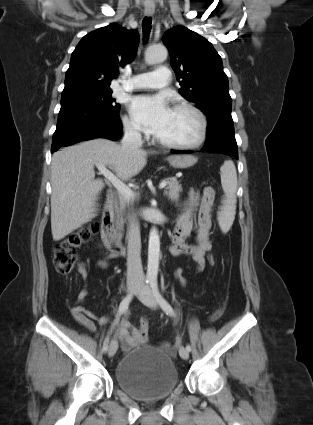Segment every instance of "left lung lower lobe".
I'll return each mask as SVG.
<instances>
[{
  "instance_id": "1",
  "label": "left lung lower lobe",
  "mask_w": 313,
  "mask_h": 425,
  "mask_svg": "<svg viewBox=\"0 0 313 425\" xmlns=\"http://www.w3.org/2000/svg\"><path fill=\"white\" fill-rule=\"evenodd\" d=\"M202 151H212L232 155L238 159L233 121L218 120L209 122L207 126L206 143L202 148ZM172 152L193 153L191 150H172Z\"/></svg>"
}]
</instances>
